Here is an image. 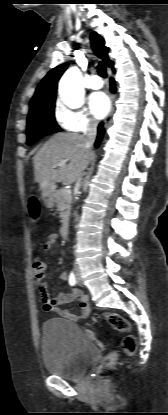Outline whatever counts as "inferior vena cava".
<instances>
[{"mask_svg": "<svg viewBox=\"0 0 168 415\" xmlns=\"http://www.w3.org/2000/svg\"><path fill=\"white\" fill-rule=\"evenodd\" d=\"M96 134H97V123L92 122L88 125L87 131L84 137V144L88 150L92 149L93 144L95 142ZM80 182H81V177L78 178V183Z\"/></svg>", "mask_w": 168, "mask_h": 415, "instance_id": "602c4592", "label": "inferior vena cava"}]
</instances>
